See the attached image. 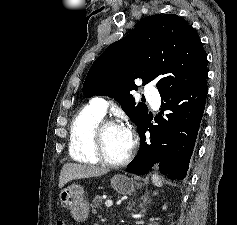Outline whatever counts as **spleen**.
Here are the masks:
<instances>
[{
	"mask_svg": "<svg viewBox=\"0 0 237 225\" xmlns=\"http://www.w3.org/2000/svg\"><path fill=\"white\" fill-rule=\"evenodd\" d=\"M152 180H153L154 184H156L157 186H161L162 185V182L160 181L158 176H153Z\"/></svg>",
	"mask_w": 237,
	"mask_h": 225,
	"instance_id": "spleen-1",
	"label": "spleen"
}]
</instances>
